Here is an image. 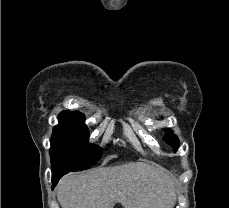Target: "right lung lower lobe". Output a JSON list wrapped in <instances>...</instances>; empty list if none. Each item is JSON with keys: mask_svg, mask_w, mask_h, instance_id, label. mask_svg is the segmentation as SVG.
Segmentation results:
<instances>
[{"mask_svg": "<svg viewBox=\"0 0 229 208\" xmlns=\"http://www.w3.org/2000/svg\"><path fill=\"white\" fill-rule=\"evenodd\" d=\"M65 174L67 173H62V174H58V175H55V176H52V189L57 185L58 181L61 179L62 176H64Z\"/></svg>", "mask_w": 229, "mask_h": 208, "instance_id": "right-lung-lower-lobe-1", "label": "right lung lower lobe"}]
</instances>
